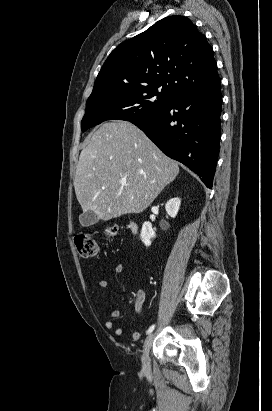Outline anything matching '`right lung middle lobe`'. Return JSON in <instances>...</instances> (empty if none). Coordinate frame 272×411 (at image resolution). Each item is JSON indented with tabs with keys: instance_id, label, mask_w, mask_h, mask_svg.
Wrapping results in <instances>:
<instances>
[{
	"instance_id": "obj_1",
	"label": "right lung middle lobe",
	"mask_w": 272,
	"mask_h": 411,
	"mask_svg": "<svg viewBox=\"0 0 272 411\" xmlns=\"http://www.w3.org/2000/svg\"><path fill=\"white\" fill-rule=\"evenodd\" d=\"M173 97L168 90L158 87L130 86L92 92L86 102L81 130L84 132L107 120L132 122L148 118L165 108Z\"/></svg>"
}]
</instances>
